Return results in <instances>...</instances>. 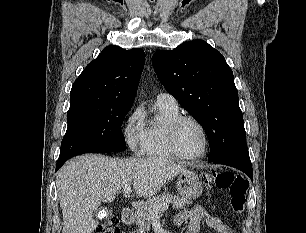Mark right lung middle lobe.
<instances>
[{
  "label": "right lung middle lobe",
  "instance_id": "right-lung-middle-lobe-1",
  "mask_svg": "<svg viewBox=\"0 0 306 233\" xmlns=\"http://www.w3.org/2000/svg\"><path fill=\"white\" fill-rule=\"evenodd\" d=\"M130 108L87 102L70 105L67 112L68 128L61 143L58 161L83 153L125 150L121 125Z\"/></svg>",
  "mask_w": 306,
  "mask_h": 233
}]
</instances>
